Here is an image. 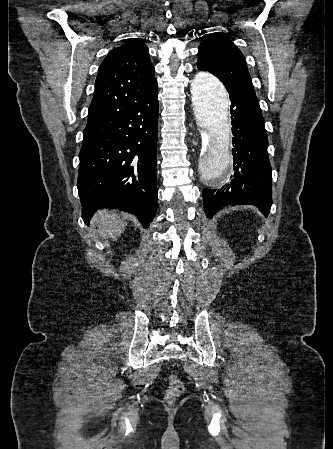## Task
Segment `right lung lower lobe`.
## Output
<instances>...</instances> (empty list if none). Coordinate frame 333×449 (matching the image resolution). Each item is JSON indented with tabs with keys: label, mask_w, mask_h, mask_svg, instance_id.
Listing matches in <instances>:
<instances>
[{
	"label": "right lung lower lobe",
	"mask_w": 333,
	"mask_h": 449,
	"mask_svg": "<svg viewBox=\"0 0 333 449\" xmlns=\"http://www.w3.org/2000/svg\"><path fill=\"white\" fill-rule=\"evenodd\" d=\"M157 90L83 131L77 181L82 218L100 208L135 214L144 227L157 209Z\"/></svg>",
	"instance_id": "right-lung-lower-lobe-1"
}]
</instances>
